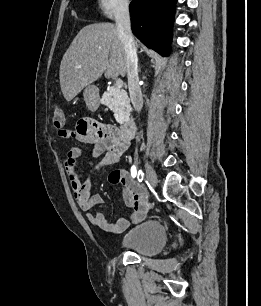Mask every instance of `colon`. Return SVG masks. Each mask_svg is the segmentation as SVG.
<instances>
[{
    "instance_id": "1",
    "label": "colon",
    "mask_w": 261,
    "mask_h": 306,
    "mask_svg": "<svg viewBox=\"0 0 261 306\" xmlns=\"http://www.w3.org/2000/svg\"><path fill=\"white\" fill-rule=\"evenodd\" d=\"M65 123V114L61 107L55 106L51 115V125L52 129L56 131L59 135L64 131L63 126ZM110 180L114 183L123 180L122 175L118 171H114L110 174Z\"/></svg>"
}]
</instances>
